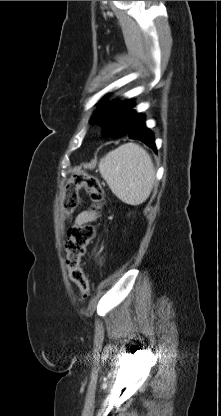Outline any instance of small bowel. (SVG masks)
<instances>
[{"mask_svg":"<svg viewBox=\"0 0 221 416\" xmlns=\"http://www.w3.org/2000/svg\"><path fill=\"white\" fill-rule=\"evenodd\" d=\"M97 218L96 214L92 211H83L79 213L74 221V226L89 223Z\"/></svg>","mask_w":221,"mask_h":416,"instance_id":"c3829d8e","label":"small bowel"}]
</instances>
